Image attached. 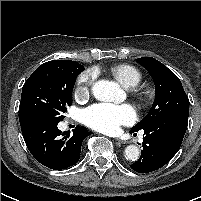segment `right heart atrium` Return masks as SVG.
Wrapping results in <instances>:
<instances>
[{
    "label": "right heart atrium",
    "mask_w": 201,
    "mask_h": 201,
    "mask_svg": "<svg viewBox=\"0 0 201 201\" xmlns=\"http://www.w3.org/2000/svg\"><path fill=\"white\" fill-rule=\"evenodd\" d=\"M95 78L96 71L94 69H87L81 73L76 82L75 97L82 100L87 99Z\"/></svg>",
    "instance_id": "right-heart-atrium-1"
}]
</instances>
